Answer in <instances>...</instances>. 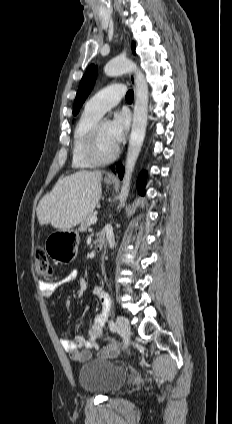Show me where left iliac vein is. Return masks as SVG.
<instances>
[{
  "label": "left iliac vein",
  "instance_id": "4c4485c4",
  "mask_svg": "<svg viewBox=\"0 0 232 424\" xmlns=\"http://www.w3.org/2000/svg\"><path fill=\"white\" fill-rule=\"evenodd\" d=\"M116 322L125 344H127L131 335L129 321L123 316H118Z\"/></svg>",
  "mask_w": 232,
  "mask_h": 424
}]
</instances>
